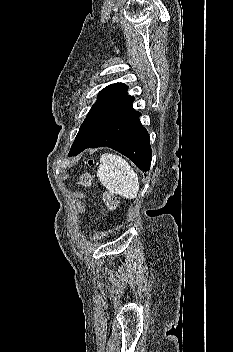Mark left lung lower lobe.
<instances>
[{
    "label": "left lung lower lobe",
    "mask_w": 233,
    "mask_h": 352,
    "mask_svg": "<svg viewBox=\"0 0 233 352\" xmlns=\"http://www.w3.org/2000/svg\"><path fill=\"white\" fill-rule=\"evenodd\" d=\"M140 115L134 110L69 156H76L87 148L109 147L128 157L139 169L149 171L151 146Z\"/></svg>",
    "instance_id": "0a47b994"
}]
</instances>
